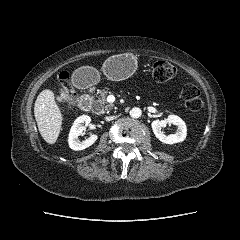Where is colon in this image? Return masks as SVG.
Listing matches in <instances>:
<instances>
[{"instance_id": "colon-1", "label": "colon", "mask_w": 240, "mask_h": 240, "mask_svg": "<svg viewBox=\"0 0 240 240\" xmlns=\"http://www.w3.org/2000/svg\"><path fill=\"white\" fill-rule=\"evenodd\" d=\"M152 75L157 82H166L176 75V68L169 62L159 60L152 66ZM59 81L63 89V98L61 103L64 106L75 103V93L70 84V77L67 72L59 74ZM181 97L184 100L187 108L192 112H198L203 106L199 88L194 84H186L181 90Z\"/></svg>"}]
</instances>
